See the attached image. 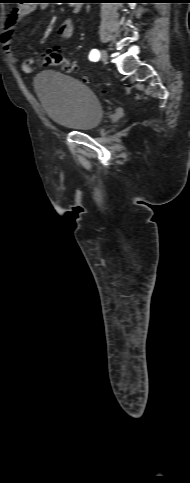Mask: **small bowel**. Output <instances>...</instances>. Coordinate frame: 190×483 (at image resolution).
Wrapping results in <instances>:
<instances>
[{
  "label": "small bowel",
  "mask_w": 190,
  "mask_h": 483,
  "mask_svg": "<svg viewBox=\"0 0 190 483\" xmlns=\"http://www.w3.org/2000/svg\"><path fill=\"white\" fill-rule=\"evenodd\" d=\"M35 9L36 7L32 4H24L22 6L12 9L11 13L6 19V27L1 37L2 47L8 59L15 64H19L21 70L26 74H29L32 72L33 60L30 58L25 60H20L19 56L13 49L12 38H13L17 23L24 17L31 14ZM41 9L44 10L45 7L42 6ZM73 33H74V26L71 19H66L58 27V34L62 39L68 40L72 38Z\"/></svg>",
  "instance_id": "c3829d8e"
}]
</instances>
